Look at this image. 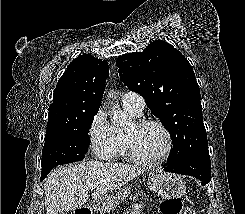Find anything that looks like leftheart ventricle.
Instances as JSON below:
<instances>
[{
  "instance_id": "b2bd125f",
  "label": "left heart ventricle",
  "mask_w": 245,
  "mask_h": 214,
  "mask_svg": "<svg viewBox=\"0 0 245 214\" xmlns=\"http://www.w3.org/2000/svg\"><path fill=\"white\" fill-rule=\"evenodd\" d=\"M126 130L132 132L135 147L144 157H158L166 147V136L157 126L149 125L133 130L130 124Z\"/></svg>"
}]
</instances>
